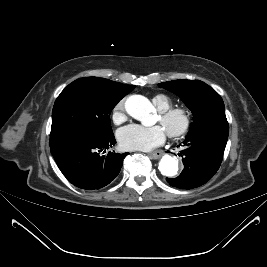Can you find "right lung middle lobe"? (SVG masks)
I'll return each instance as SVG.
<instances>
[{
	"label": "right lung middle lobe",
	"mask_w": 267,
	"mask_h": 267,
	"mask_svg": "<svg viewBox=\"0 0 267 267\" xmlns=\"http://www.w3.org/2000/svg\"><path fill=\"white\" fill-rule=\"evenodd\" d=\"M134 88L98 77L75 80L55 101L50 137L70 131L112 135L110 113Z\"/></svg>",
	"instance_id": "1"
}]
</instances>
